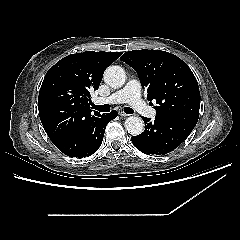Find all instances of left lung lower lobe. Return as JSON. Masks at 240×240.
Returning <instances> with one entry per match:
<instances>
[{
	"label": "left lung lower lobe",
	"instance_id": "obj_1",
	"mask_svg": "<svg viewBox=\"0 0 240 240\" xmlns=\"http://www.w3.org/2000/svg\"><path fill=\"white\" fill-rule=\"evenodd\" d=\"M145 122L143 133L132 136L133 145L145 154L164 155L178 147L192 132L198 116H156L154 121L142 117Z\"/></svg>",
	"mask_w": 240,
	"mask_h": 240
}]
</instances>
